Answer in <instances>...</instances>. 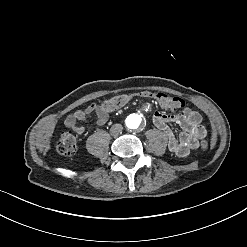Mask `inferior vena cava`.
Instances as JSON below:
<instances>
[{"mask_svg": "<svg viewBox=\"0 0 247 247\" xmlns=\"http://www.w3.org/2000/svg\"><path fill=\"white\" fill-rule=\"evenodd\" d=\"M123 130V126L119 123H116L114 124L112 127H111V130H110V133L112 135H117L119 134L121 131Z\"/></svg>", "mask_w": 247, "mask_h": 247, "instance_id": "inferior-vena-cava-1", "label": "inferior vena cava"}]
</instances>
